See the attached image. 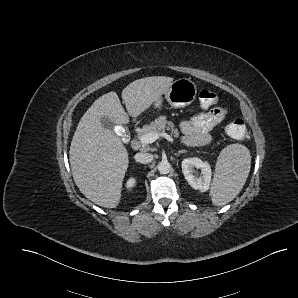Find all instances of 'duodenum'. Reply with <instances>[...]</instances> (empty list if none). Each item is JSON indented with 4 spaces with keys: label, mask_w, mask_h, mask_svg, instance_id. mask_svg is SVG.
Segmentation results:
<instances>
[{
    "label": "duodenum",
    "mask_w": 298,
    "mask_h": 298,
    "mask_svg": "<svg viewBox=\"0 0 298 298\" xmlns=\"http://www.w3.org/2000/svg\"><path fill=\"white\" fill-rule=\"evenodd\" d=\"M132 148H133L134 150H137V149L140 148V144H139L137 141H134V142L132 143Z\"/></svg>",
    "instance_id": "1"
}]
</instances>
